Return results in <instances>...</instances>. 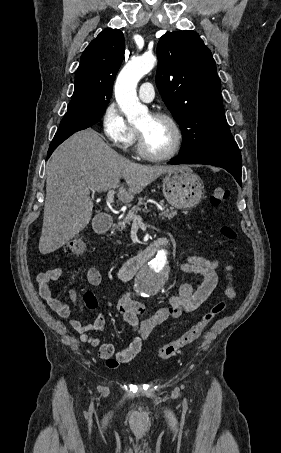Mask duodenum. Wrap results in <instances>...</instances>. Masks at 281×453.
Listing matches in <instances>:
<instances>
[{
  "instance_id": "duodenum-1",
  "label": "duodenum",
  "mask_w": 281,
  "mask_h": 453,
  "mask_svg": "<svg viewBox=\"0 0 281 453\" xmlns=\"http://www.w3.org/2000/svg\"><path fill=\"white\" fill-rule=\"evenodd\" d=\"M112 225V219L110 217H101L96 220L94 229L96 233L103 234L109 230ZM168 245L166 239H160L145 249L140 251L138 254L130 258L124 263L118 272V276L123 281L130 280L147 261H149L159 250L165 248Z\"/></svg>"
}]
</instances>
